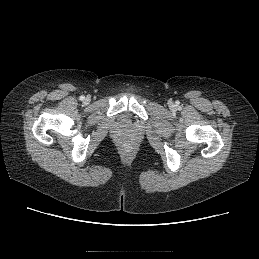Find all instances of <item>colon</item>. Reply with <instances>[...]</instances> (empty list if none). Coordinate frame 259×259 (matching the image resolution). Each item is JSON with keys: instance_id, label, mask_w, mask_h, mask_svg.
<instances>
[{"instance_id": "1", "label": "colon", "mask_w": 259, "mask_h": 259, "mask_svg": "<svg viewBox=\"0 0 259 259\" xmlns=\"http://www.w3.org/2000/svg\"><path fill=\"white\" fill-rule=\"evenodd\" d=\"M125 149H126L127 151H129V150H130V147H129V146H126Z\"/></svg>"}]
</instances>
